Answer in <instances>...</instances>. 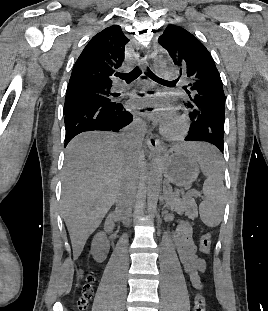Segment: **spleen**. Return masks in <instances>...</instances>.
I'll list each match as a JSON object with an SVG mask.
<instances>
[{
    "instance_id": "1",
    "label": "spleen",
    "mask_w": 268,
    "mask_h": 311,
    "mask_svg": "<svg viewBox=\"0 0 268 311\" xmlns=\"http://www.w3.org/2000/svg\"><path fill=\"white\" fill-rule=\"evenodd\" d=\"M187 145L206 176L204 200L199 205L200 218L208 227H216L222 221L225 206L222 157L215 144H206L205 140H188Z\"/></svg>"
}]
</instances>
